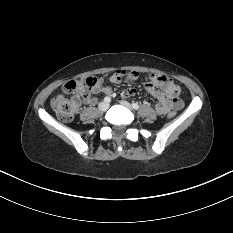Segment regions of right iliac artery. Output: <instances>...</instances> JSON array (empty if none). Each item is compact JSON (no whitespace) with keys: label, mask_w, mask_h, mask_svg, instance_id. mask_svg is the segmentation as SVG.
Masks as SVG:
<instances>
[{"label":"right iliac artery","mask_w":233,"mask_h":233,"mask_svg":"<svg viewBox=\"0 0 233 233\" xmlns=\"http://www.w3.org/2000/svg\"><path fill=\"white\" fill-rule=\"evenodd\" d=\"M104 101H105V102H110V101H111V98H110V97H105V98H104Z\"/></svg>","instance_id":"1"}]
</instances>
